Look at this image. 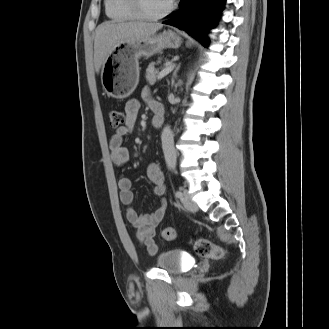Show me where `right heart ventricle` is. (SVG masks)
I'll return each instance as SVG.
<instances>
[{
    "label": "right heart ventricle",
    "instance_id": "e07e8e85",
    "mask_svg": "<svg viewBox=\"0 0 329 329\" xmlns=\"http://www.w3.org/2000/svg\"><path fill=\"white\" fill-rule=\"evenodd\" d=\"M105 11L109 18L117 21L137 18L126 0H105Z\"/></svg>",
    "mask_w": 329,
    "mask_h": 329
}]
</instances>
